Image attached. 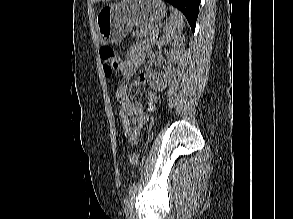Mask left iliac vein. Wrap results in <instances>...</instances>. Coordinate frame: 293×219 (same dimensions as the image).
I'll return each instance as SVG.
<instances>
[{"mask_svg":"<svg viewBox=\"0 0 293 219\" xmlns=\"http://www.w3.org/2000/svg\"><path fill=\"white\" fill-rule=\"evenodd\" d=\"M125 212L127 219H134V211L131 199H129L126 203Z\"/></svg>","mask_w":293,"mask_h":219,"instance_id":"left-iliac-vein-1","label":"left iliac vein"}]
</instances>
